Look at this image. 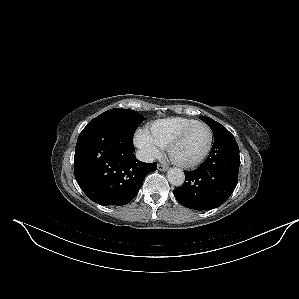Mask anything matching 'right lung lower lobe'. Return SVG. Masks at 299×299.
<instances>
[{"instance_id": "obj_1", "label": "right lung lower lobe", "mask_w": 299, "mask_h": 299, "mask_svg": "<svg viewBox=\"0 0 299 299\" xmlns=\"http://www.w3.org/2000/svg\"><path fill=\"white\" fill-rule=\"evenodd\" d=\"M133 135L104 120H91L78 137L74 156L77 183L89 199L103 206L132 201L156 163L139 161Z\"/></svg>"}]
</instances>
